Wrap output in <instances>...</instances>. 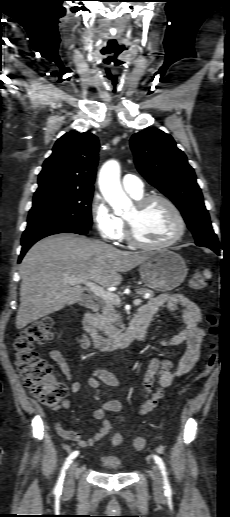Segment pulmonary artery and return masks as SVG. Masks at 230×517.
Masks as SVG:
<instances>
[{
    "mask_svg": "<svg viewBox=\"0 0 230 517\" xmlns=\"http://www.w3.org/2000/svg\"><path fill=\"white\" fill-rule=\"evenodd\" d=\"M122 186L132 196H140L144 192L141 179L132 174H127L122 178Z\"/></svg>",
    "mask_w": 230,
    "mask_h": 517,
    "instance_id": "e3ab8cb5",
    "label": "pulmonary artery"
}]
</instances>
